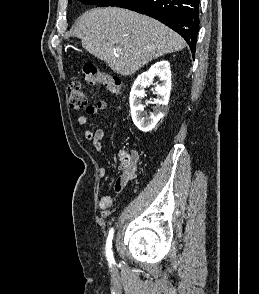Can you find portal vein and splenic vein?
<instances>
[{
  "label": "portal vein and splenic vein",
  "mask_w": 259,
  "mask_h": 294,
  "mask_svg": "<svg viewBox=\"0 0 259 294\" xmlns=\"http://www.w3.org/2000/svg\"><path fill=\"white\" fill-rule=\"evenodd\" d=\"M116 51H117V52H121L122 49H121L120 47H117V48H116Z\"/></svg>",
  "instance_id": "obj_1"
}]
</instances>
